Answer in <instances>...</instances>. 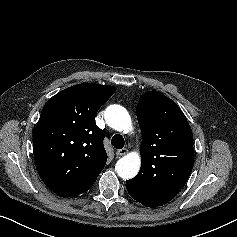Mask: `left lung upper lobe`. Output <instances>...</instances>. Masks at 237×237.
Instances as JSON below:
<instances>
[{
  "label": "left lung upper lobe",
  "mask_w": 237,
  "mask_h": 237,
  "mask_svg": "<svg viewBox=\"0 0 237 237\" xmlns=\"http://www.w3.org/2000/svg\"><path fill=\"white\" fill-rule=\"evenodd\" d=\"M137 119L143 135L141 168L126 181V189L142 205L156 207L186 184L193 167V134L181 109L159 91L140 97Z\"/></svg>",
  "instance_id": "left-lung-upper-lobe-1"
}]
</instances>
